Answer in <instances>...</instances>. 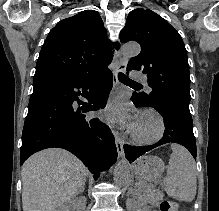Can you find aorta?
<instances>
[{
  "label": "aorta",
  "mask_w": 219,
  "mask_h": 211,
  "mask_svg": "<svg viewBox=\"0 0 219 211\" xmlns=\"http://www.w3.org/2000/svg\"><path fill=\"white\" fill-rule=\"evenodd\" d=\"M140 52V46L137 43L131 42L122 47V55L128 59L135 57ZM113 179L117 186H127L131 181V168L126 159H122L117 163L113 173Z\"/></svg>",
  "instance_id": "1"
}]
</instances>
